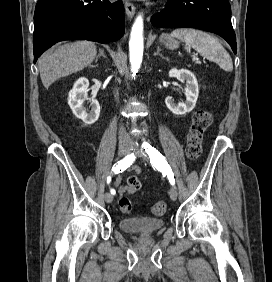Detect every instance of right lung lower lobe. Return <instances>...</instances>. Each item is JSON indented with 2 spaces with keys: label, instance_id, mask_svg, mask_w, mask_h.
I'll return each instance as SVG.
<instances>
[{
  "label": "right lung lower lobe",
  "instance_id": "1",
  "mask_svg": "<svg viewBox=\"0 0 272 282\" xmlns=\"http://www.w3.org/2000/svg\"><path fill=\"white\" fill-rule=\"evenodd\" d=\"M124 19L121 1L38 0L34 13V63L59 41H116L124 34Z\"/></svg>",
  "mask_w": 272,
  "mask_h": 282
}]
</instances>
